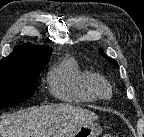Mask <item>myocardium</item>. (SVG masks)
Segmentation results:
<instances>
[{"mask_svg": "<svg viewBox=\"0 0 144 137\" xmlns=\"http://www.w3.org/2000/svg\"><path fill=\"white\" fill-rule=\"evenodd\" d=\"M90 87L94 94L100 99H108L112 95V87L109 81L98 74H95Z\"/></svg>", "mask_w": 144, "mask_h": 137, "instance_id": "f54148a6", "label": "myocardium"}]
</instances>
